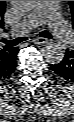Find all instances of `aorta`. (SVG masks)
Wrapping results in <instances>:
<instances>
[{"label": "aorta", "mask_w": 74, "mask_h": 122, "mask_svg": "<svg viewBox=\"0 0 74 122\" xmlns=\"http://www.w3.org/2000/svg\"><path fill=\"white\" fill-rule=\"evenodd\" d=\"M39 1H11V5L20 13L32 11ZM42 55L46 62L50 64L60 63L65 56L63 44L57 41H50L42 48Z\"/></svg>", "instance_id": "762f6f07"}]
</instances>
